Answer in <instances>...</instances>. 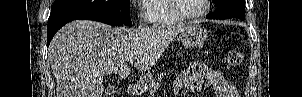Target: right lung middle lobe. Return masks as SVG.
<instances>
[{
    "mask_svg": "<svg viewBox=\"0 0 302 97\" xmlns=\"http://www.w3.org/2000/svg\"><path fill=\"white\" fill-rule=\"evenodd\" d=\"M83 11L103 13L124 25H132L130 0H55L49 19Z\"/></svg>",
    "mask_w": 302,
    "mask_h": 97,
    "instance_id": "1",
    "label": "right lung middle lobe"
}]
</instances>
